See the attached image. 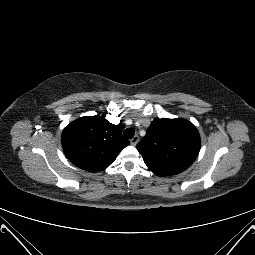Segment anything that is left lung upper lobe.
Here are the masks:
<instances>
[{"instance_id":"1","label":"left lung upper lobe","mask_w":255,"mask_h":255,"mask_svg":"<svg viewBox=\"0 0 255 255\" xmlns=\"http://www.w3.org/2000/svg\"><path fill=\"white\" fill-rule=\"evenodd\" d=\"M201 140L188 120L156 118L136 148L147 167L158 176L186 170L197 158Z\"/></svg>"}]
</instances>
